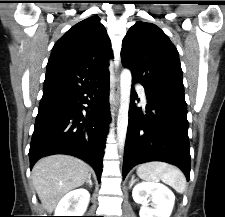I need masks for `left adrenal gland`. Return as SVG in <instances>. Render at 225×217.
<instances>
[{
	"instance_id": "1",
	"label": "left adrenal gland",
	"mask_w": 225,
	"mask_h": 217,
	"mask_svg": "<svg viewBox=\"0 0 225 217\" xmlns=\"http://www.w3.org/2000/svg\"><path fill=\"white\" fill-rule=\"evenodd\" d=\"M135 181H136V180H135V175H132L131 181H130V183H129V188L132 187V185L134 184Z\"/></svg>"
}]
</instances>
